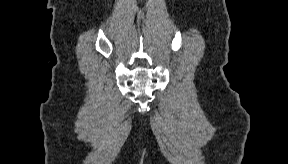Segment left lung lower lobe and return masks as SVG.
I'll return each mask as SVG.
<instances>
[{"instance_id": "left-lung-lower-lobe-1", "label": "left lung lower lobe", "mask_w": 288, "mask_h": 164, "mask_svg": "<svg viewBox=\"0 0 288 164\" xmlns=\"http://www.w3.org/2000/svg\"><path fill=\"white\" fill-rule=\"evenodd\" d=\"M251 86L260 88L264 84V75L260 69H252L250 71Z\"/></svg>"}]
</instances>
